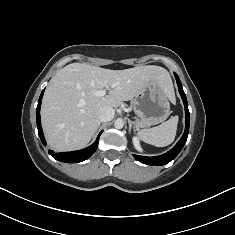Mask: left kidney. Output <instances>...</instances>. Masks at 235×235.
<instances>
[{"mask_svg":"<svg viewBox=\"0 0 235 235\" xmlns=\"http://www.w3.org/2000/svg\"><path fill=\"white\" fill-rule=\"evenodd\" d=\"M132 142H133V145H134L135 149H136L137 151H139V152H142V147H141V145H140V140H139V138L136 137V136L133 137Z\"/></svg>","mask_w":235,"mask_h":235,"instance_id":"left-kidney-1","label":"left kidney"}]
</instances>
